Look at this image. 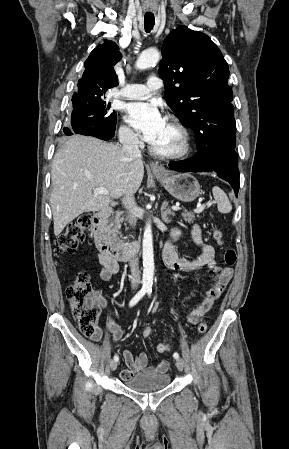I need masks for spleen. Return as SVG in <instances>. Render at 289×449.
Segmentation results:
<instances>
[{"label":"spleen","mask_w":289,"mask_h":449,"mask_svg":"<svg viewBox=\"0 0 289 449\" xmlns=\"http://www.w3.org/2000/svg\"><path fill=\"white\" fill-rule=\"evenodd\" d=\"M212 192L214 199L217 202L218 211L223 214L230 213L232 210V205L225 192L218 186H214Z\"/></svg>","instance_id":"3e777b00"}]
</instances>
